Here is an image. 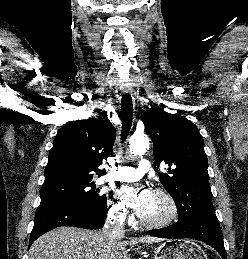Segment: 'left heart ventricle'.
<instances>
[{
	"instance_id": "b2bd125f",
	"label": "left heart ventricle",
	"mask_w": 248,
	"mask_h": 259,
	"mask_svg": "<svg viewBox=\"0 0 248 259\" xmlns=\"http://www.w3.org/2000/svg\"><path fill=\"white\" fill-rule=\"evenodd\" d=\"M167 213L168 205L166 201L162 197L153 194L149 207L142 218L148 221H156L165 217Z\"/></svg>"
}]
</instances>
